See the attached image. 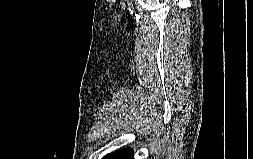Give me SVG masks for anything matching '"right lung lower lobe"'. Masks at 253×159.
I'll return each mask as SVG.
<instances>
[{
	"label": "right lung lower lobe",
	"instance_id": "right-lung-lower-lobe-1",
	"mask_svg": "<svg viewBox=\"0 0 253 159\" xmlns=\"http://www.w3.org/2000/svg\"><path fill=\"white\" fill-rule=\"evenodd\" d=\"M103 159H134L133 158V150L132 149H122L120 151L115 152L112 155H107Z\"/></svg>",
	"mask_w": 253,
	"mask_h": 159
}]
</instances>
